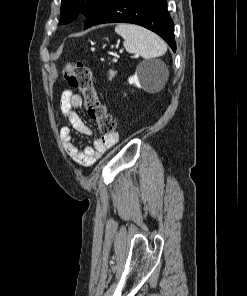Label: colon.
<instances>
[{"label": "colon", "mask_w": 247, "mask_h": 296, "mask_svg": "<svg viewBox=\"0 0 247 296\" xmlns=\"http://www.w3.org/2000/svg\"><path fill=\"white\" fill-rule=\"evenodd\" d=\"M63 75L72 87L82 92L87 115L97 123L101 133L104 135L113 134L116 129V121L99 98L90 68L82 62L70 63L65 66Z\"/></svg>", "instance_id": "1"}]
</instances>
